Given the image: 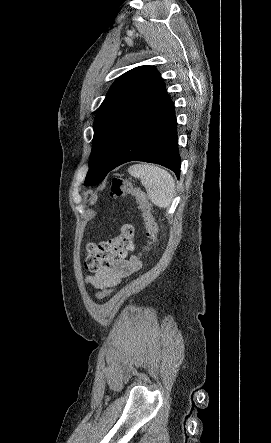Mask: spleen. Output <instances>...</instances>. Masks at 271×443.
Listing matches in <instances>:
<instances>
[{
	"instance_id": "obj_1",
	"label": "spleen",
	"mask_w": 271,
	"mask_h": 443,
	"mask_svg": "<svg viewBox=\"0 0 271 443\" xmlns=\"http://www.w3.org/2000/svg\"><path fill=\"white\" fill-rule=\"evenodd\" d=\"M130 176L139 178L149 200L158 208H168L174 198L175 182L166 170L149 164H135L128 168Z\"/></svg>"
}]
</instances>
